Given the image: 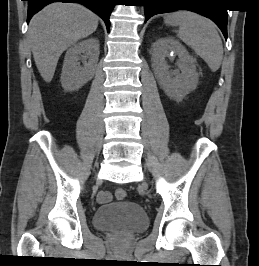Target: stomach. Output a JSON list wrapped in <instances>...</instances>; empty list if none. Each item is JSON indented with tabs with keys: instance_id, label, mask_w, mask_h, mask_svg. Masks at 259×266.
<instances>
[{
	"instance_id": "1",
	"label": "stomach",
	"mask_w": 259,
	"mask_h": 266,
	"mask_svg": "<svg viewBox=\"0 0 259 266\" xmlns=\"http://www.w3.org/2000/svg\"><path fill=\"white\" fill-rule=\"evenodd\" d=\"M164 21L168 25H177V21L174 18V13L165 15Z\"/></svg>"
}]
</instances>
